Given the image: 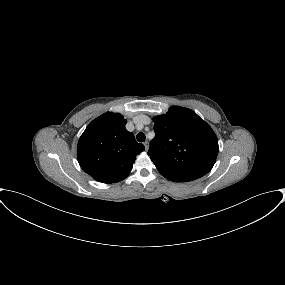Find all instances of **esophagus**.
<instances>
[{
  "instance_id": "obj_1",
  "label": "esophagus",
  "mask_w": 285,
  "mask_h": 285,
  "mask_svg": "<svg viewBox=\"0 0 285 285\" xmlns=\"http://www.w3.org/2000/svg\"><path fill=\"white\" fill-rule=\"evenodd\" d=\"M144 146H145V149H146V151L149 149V143L146 141V142H144Z\"/></svg>"
}]
</instances>
